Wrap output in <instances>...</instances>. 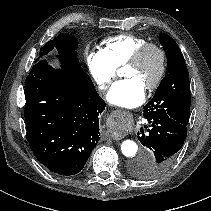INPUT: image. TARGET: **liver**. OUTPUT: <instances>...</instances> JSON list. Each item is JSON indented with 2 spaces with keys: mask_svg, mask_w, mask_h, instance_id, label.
Segmentation results:
<instances>
[{
  "mask_svg": "<svg viewBox=\"0 0 211 211\" xmlns=\"http://www.w3.org/2000/svg\"><path fill=\"white\" fill-rule=\"evenodd\" d=\"M52 65H53L54 67H59L58 64H57L56 62H52Z\"/></svg>",
  "mask_w": 211,
  "mask_h": 211,
  "instance_id": "6515ba94",
  "label": "liver"
}]
</instances>
